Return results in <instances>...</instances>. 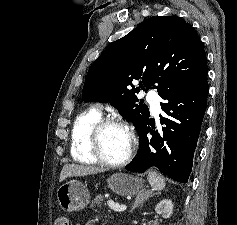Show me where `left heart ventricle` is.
Here are the masks:
<instances>
[{
    "instance_id": "left-heart-ventricle-1",
    "label": "left heart ventricle",
    "mask_w": 237,
    "mask_h": 225,
    "mask_svg": "<svg viewBox=\"0 0 237 225\" xmlns=\"http://www.w3.org/2000/svg\"><path fill=\"white\" fill-rule=\"evenodd\" d=\"M101 148L108 160L113 162L121 161L130 148V137L123 128L109 126L102 132Z\"/></svg>"
}]
</instances>
